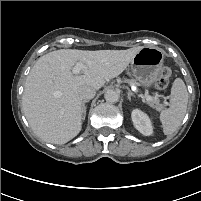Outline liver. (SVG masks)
Instances as JSON below:
<instances>
[{"mask_svg":"<svg viewBox=\"0 0 201 201\" xmlns=\"http://www.w3.org/2000/svg\"><path fill=\"white\" fill-rule=\"evenodd\" d=\"M141 50L85 51L61 49L40 57L27 76L22 111L41 140L65 144L82 128V100L79 89H100L107 79L120 75ZM77 62L82 75L72 72Z\"/></svg>","mask_w":201,"mask_h":201,"instance_id":"liver-1","label":"liver"}]
</instances>
